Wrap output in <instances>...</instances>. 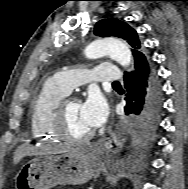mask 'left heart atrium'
<instances>
[{
    "label": "left heart atrium",
    "instance_id": "obj_1",
    "mask_svg": "<svg viewBox=\"0 0 188 189\" xmlns=\"http://www.w3.org/2000/svg\"><path fill=\"white\" fill-rule=\"evenodd\" d=\"M82 115L91 129L101 127L108 116L105 98L98 91H91L82 103Z\"/></svg>",
    "mask_w": 188,
    "mask_h": 189
}]
</instances>
